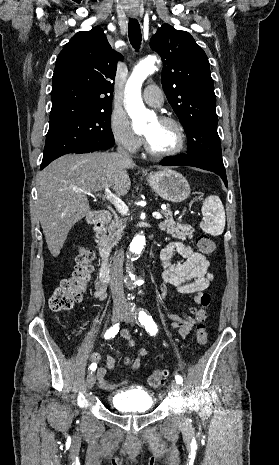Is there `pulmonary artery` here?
Listing matches in <instances>:
<instances>
[{"label": "pulmonary artery", "mask_w": 279, "mask_h": 465, "mask_svg": "<svg viewBox=\"0 0 279 465\" xmlns=\"http://www.w3.org/2000/svg\"><path fill=\"white\" fill-rule=\"evenodd\" d=\"M144 101L154 107H160L163 103V94L156 85H149L143 93Z\"/></svg>", "instance_id": "e3ab8cb5"}]
</instances>
